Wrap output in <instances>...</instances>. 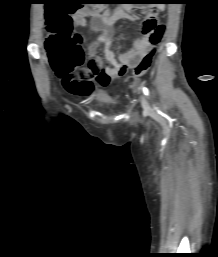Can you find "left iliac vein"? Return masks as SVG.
<instances>
[{
    "mask_svg": "<svg viewBox=\"0 0 218 257\" xmlns=\"http://www.w3.org/2000/svg\"><path fill=\"white\" fill-rule=\"evenodd\" d=\"M140 102H141L142 108L146 114L153 113L152 108L150 107L148 101L146 100V98L143 95H141V97H140Z\"/></svg>",
    "mask_w": 218,
    "mask_h": 257,
    "instance_id": "left-iliac-vein-1",
    "label": "left iliac vein"
}]
</instances>
